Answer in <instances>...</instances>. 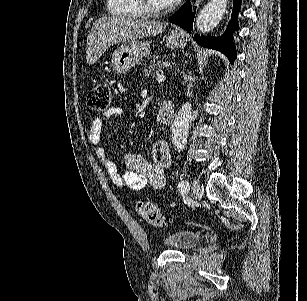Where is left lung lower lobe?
Returning <instances> with one entry per match:
<instances>
[{"label": "left lung lower lobe", "instance_id": "0a47b994", "mask_svg": "<svg viewBox=\"0 0 307 301\" xmlns=\"http://www.w3.org/2000/svg\"><path fill=\"white\" fill-rule=\"evenodd\" d=\"M241 0H234L233 14L226 32L222 36H200L196 34L194 39L196 42L204 47L212 48L224 53L231 63L236 58V49L233 44L232 32L238 30L237 15L240 8ZM195 11L192 12L191 3L184 4L171 18L170 22L179 25L188 32L192 30Z\"/></svg>", "mask_w": 307, "mask_h": 301}]
</instances>
